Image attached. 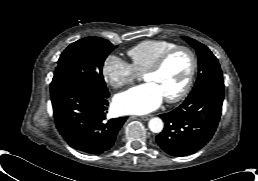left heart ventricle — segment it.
<instances>
[{
	"instance_id": "obj_1",
	"label": "left heart ventricle",
	"mask_w": 258,
	"mask_h": 181,
	"mask_svg": "<svg viewBox=\"0 0 258 181\" xmlns=\"http://www.w3.org/2000/svg\"><path fill=\"white\" fill-rule=\"evenodd\" d=\"M190 68L189 55L180 51L172 55L159 72L144 75V80L156 84L164 97H170L184 87Z\"/></svg>"
}]
</instances>
